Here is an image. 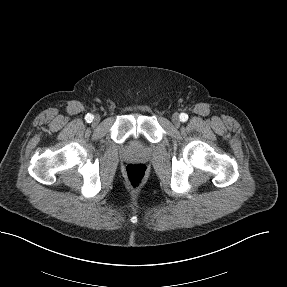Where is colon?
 Returning <instances> with one entry per match:
<instances>
[{
    "mask_svg": "<svg viewBox=\"0 0 287 287\" xmlns=\"http://www.w3.org/2000/svg\"><path fill=\"white\" fill-rule=\"evenodd\" d=\"M124 176L128 184L133 188H139L146 179L147 167L141 163H130L124 168Z\"/></svg>",
    "mask_w": 287,
    "mask_h": 287,
    "instance_id": "obj_1",
    "label": "colon"
}]
</instances>
